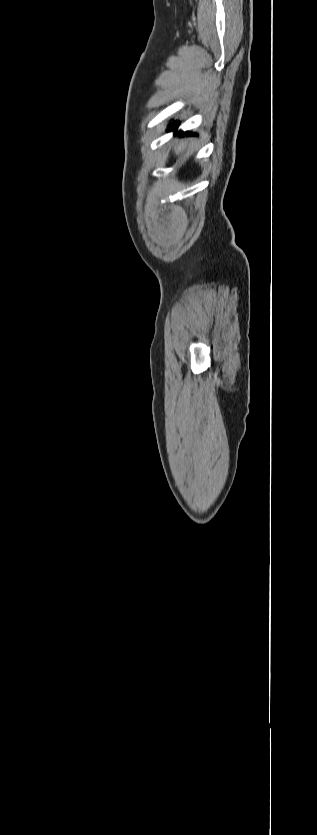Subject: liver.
I'll list each match as a JSON object with an SVG mask.
<instances>
[{"mask_svg": "<svg viewBox=\"0 0 317 835\" xmlns=\"http://www.w3.org/2000/svg\"><path fill=\"white\" fill-rule=\"evenodd\" d=\"M185 148V143L182 141L175 147V153L180 154Z\"/></svg>", "mask_w": 317, "mask_h": 835, "instance_id": "1", "label": "liver"}]
</instances>
